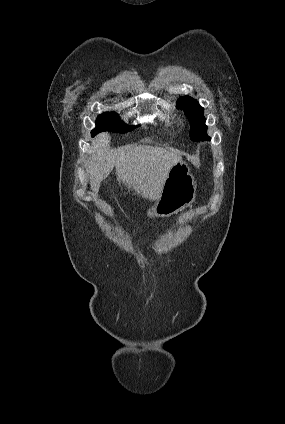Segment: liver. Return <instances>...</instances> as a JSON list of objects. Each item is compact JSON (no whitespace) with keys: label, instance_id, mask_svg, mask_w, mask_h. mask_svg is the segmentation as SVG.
<instances>
[{"label":"liver","instance_id":"obj_1","mask_svg":"<svg viewBox=\"0 0 285 424\" xmlns=\"http://www.w3.org/2000/svg\"><path fill=\"white\" fill-rule=\"evenodd\" d=\"M110 136L101 133L92 140L93 155L88 164L90 188L96 194L100 183L116 170L117 181L128 191L150 201L159 198L171 167L181 160V153L174 148L147 145H127L109 149Z\"/></svg>","mask_w":285,"mask_h":424}]
</instances>
